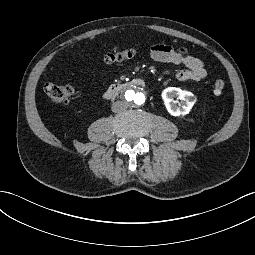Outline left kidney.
Masks as SVG:
<instances>
[{"label": "left kidney", "mask_w": 255, "mask_h": 255, "mask_svg": "<svg viewBox=\"0 0 255 255\" xmlns=\"http://www.w3.org/2000/svg\"><path fill=\"white\" fill-rule=\"evenodd\" d=\"M175 97L178 100H181V102H178L177 100L175 101ZM162 99L167 111L173 116L188 114L196 102V97L193 93L176 87H168L164 89L162 92Z\"/></svg>", "instance_id": "1"}]
</instances>
